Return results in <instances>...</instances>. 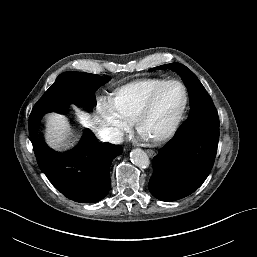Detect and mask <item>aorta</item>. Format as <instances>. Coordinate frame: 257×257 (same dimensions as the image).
Segmentation results:
<instances>
[{
    "mask_svg": "<svg viewBox=\"0 0 257 257\" xmlns=\"http://www.w3.org/2000/svg\"><path fill=\"white\" fill-rule=\"evenodd\" d=\"M130 159L137 166H145L149 160L147 154L140 148L133 149L130 152Z\"/></svg>",
    "mask_w": 257,
    "mask_h": 257,
    "instance_id": "762f6f07",
    "label": "aorta"
}]
</instances>
